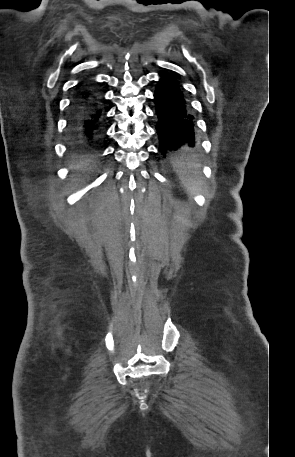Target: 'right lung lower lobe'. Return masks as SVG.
<instances>
[{"label":"right lung lower lobe","mask_w":295,"mask_h":457,"mask_svg":"<svg viewBox=\"0 0 295 457\" xmlns=\"http://www.w3.org/2000/svg\"><path fill=\"white\" fill-rule=\"evenodd\" d=\"M102 98L89 81L78 85L72 102V121L83 130V145L89 151L98 148L101 136Z\"/></svg>","instance_id":"98d812e1"}]
</instances>
